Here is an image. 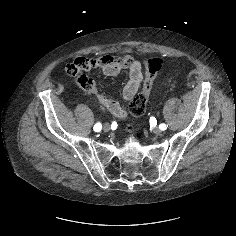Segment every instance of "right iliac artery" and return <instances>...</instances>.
<instances>
[{
	"label": "right iliac artery",
	"mask_w": 236,
	"mask_h": 236,
	"mask_svg": "<svg viewBox=\"0 0 236 236\" xmlns=\"http://www.w3.org/2000/svg\"><path fill=\"white\" fill-rule=\"evenodd\" d=\"M101 128H102V125H101V123H96L95 125H94V131L95 132H99V131H101Z\"/></svg>",
	"instance_id": "1"
}]
</instances>
